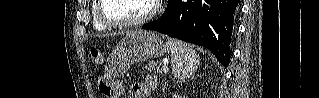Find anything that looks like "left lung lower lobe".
<instances>
[{
  "label": "left lung lower lobe",
  "instance_id": "left-lung-lower-lobe-1",
  "mask_svg": "<svg viewBox=\"0 0 319 98\" xmlns=\"http://www.w3.org/2000/svg\"><path fill=\"white\" fill-rule=\"evenodd\" d=\"M238 4L239 0H169L164 14L142 28L206 47L227 67Z\"/></svg>",
  "mask_w": 319,
  "mask_h": 98
}]
</instances>
